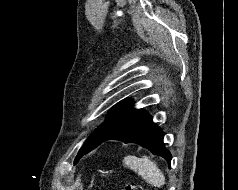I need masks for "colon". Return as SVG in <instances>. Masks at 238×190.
<instances>
[{
    "mask_svg": "<svg viewBox=\"0 0 238 190\" xmlns=\"http://www.w3.org/2000/svg\"><path fill=\"white\" fill-rule=\"evenodd\" d=\"M125 190H143L141 186L136 185V184H128L125 187Z\"/></svg>",
    "mask_w": 238,
    "mask_h": 190,
    "instance_id": "1",
    "label": "colon"
}]
</instances>
